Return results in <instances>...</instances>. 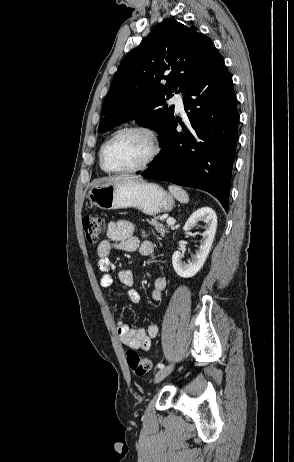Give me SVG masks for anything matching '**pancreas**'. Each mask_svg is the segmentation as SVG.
<instances>
[{
    "mask_svg": "<svg viewBox=\"0 0 294 462\" xmlns=\"http://www.w3.org/2000/svg\"><path fill=\"white\" fill-rule=\"evenodd\" d=\"M149 224L153 225L155 230L161 234L162 237H165L166 233H168V230H165V227L162 223L158 222V218L154 217L151 220L148 221Z\"/></svg>",
    "mask_w": 294,
    "mask_h": 462,
    "instance_id": "cf45deb5",
    "label": "pancreas"
}]
</instances>
